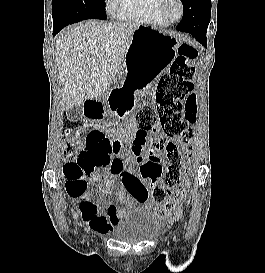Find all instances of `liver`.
Here are the masks:
<instances>
[{"mask_svg":"<svg viewBox=\"0 0 265 273\" xmlns=\"http://www.w3.org/2000/svg\"><path fill=\"white\" fill-rule=\"evenodd\" d=\"M139 23L89 20L67 27L56 40V63L63 89V108L100 97L121 70Z\"/></svg>","mask_w":265,"mask_h":273,"instance_id":"liver-1","label":"liver"}]
</instances>
